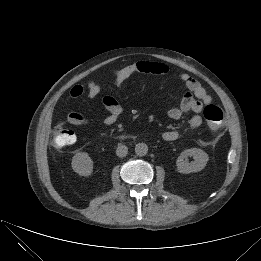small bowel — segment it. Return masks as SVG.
<instances>
[{"instance_id": "c3829d8e", "label": "small bowel", "mask_w": 261, "mask_h": 261, "mask_svg": "<svg viewBox=\"0 0 261 261\" xmlns=\"http://www.w3.org/2000/svg\"><path fill=\"white\" fill-rule=\"evenodd\" d=\"M169 72V67L160 62L151 61H138L133 64L121 67L112 72V77L118 87L123 84L136 73L157 74L162 75ZM181 81L187 88V92L182 98L180 104L168 110V116L173 120H179L187 113H192L189 120V127L197 129L202 124L200 113L204 105L211 103L212 98L205 90V88L192 76L183 73L180 75ZM84 93L88 95L90 100L96 99L101 93V85L97 81H91L87 84L74 85L69 95L72 99L81 97ZM102 104L108 111V115L98 120L88 117L76 111H71L67 114V121L70 124L77 126L91 125L101 123L103 125L114 124L122 113V107L119 102L111 97H102ZM163 139L167 142L176 141L179 138V133L176 130H167L162 135Z\"/></svg>"}]
</instances>
